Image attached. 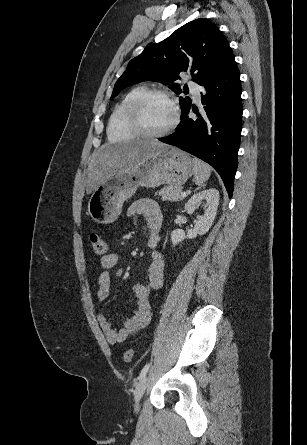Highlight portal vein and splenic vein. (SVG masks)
Segmentation results:
<instances>
[{"mask_svg":"<svg viewBox=\"0 0 307 445\" xmlns=\"http://www.w3.org/2000/svg\"><path fill=\"white\" fill-rule=\"evenodd\" d=\"M182 196H187L186 192H183Z\"/></svg>","mask_w":307,"mask_h":445,"instance_id":"18ae733b","label":"portal vein and splenic vein"}]
</instances>
